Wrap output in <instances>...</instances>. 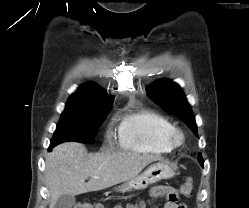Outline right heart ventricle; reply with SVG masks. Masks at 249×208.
Here are the masks:
<instances>
[{"mask_svg":"<svg viewBox=\"0 0 249 208\" xmlns=\"http://www.w3.org/2000/svg\"><path fill=\"white\" fill-rule=\"evenodd\" d=\"M175 127L164 115L153 110L127 114L119 127L123 147L142 154H168L172 151L168 133Z\"/></svg>","mask_w":249,"mask_h":208,"instance_id":"obj_1","label":"right heart ventricle"}]
</instances>
